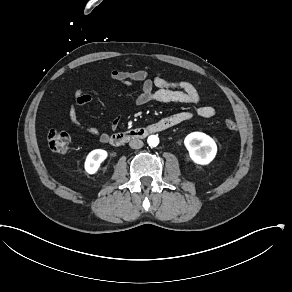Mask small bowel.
Here are the masks:
<instances>
[{
    "label": "small bowel",
    "mask_w": 292,
    "mask_h": 292,
    "mask_svg": "<svg viewBox=\"0 0 292 292\" xmlns=\"http://www.w3.org/2000/svg\"><path fill=\"white\" fill-rule=\"evenodd\" d=\"M110 78L122 82L126 85L132 83H141V92L136 97L135 103L138 106L147 105L150 103H166L179 102L197 106L195 113L192 111H183L165 117L158 121L161 124L160 131L173 128L193 118L194 114L201 118H212L216 114L214 107L209 105H201L202 98L198 90L187 81H169L164 78L161 73L150 78L145 70L126 71L114 69L110 72ZM93 96L90 93L82 90H76L74 93V101L69 107L68 118L70 122L80 131L90 135H96L102 143H107L110 134L100 132L96 127L84 125L78 115L81 107L91 102ZM119 124V119L116 118L112 122V129H115Z\"/></svg>",
    "instance_id": "c3829d8e"
}]
</instances>
